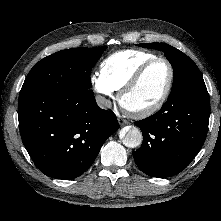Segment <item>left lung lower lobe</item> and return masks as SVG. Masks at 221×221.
I'll list each match as a JSON object with an SVG mask.
<instances>
[{
	"mask_svg": "<svg viewBox=\"0 0 221 221\" xmlns=\"http://www.w3.org/2000/svg\"><path fill=\"white\" fill-rule=\"evenodd\" d=\"M209 116L207 89L172 94L157 113L135 122L143 135L142 146L134 152L136 165L159 178L184 170L206 139Z\"/></svg>",
	"mask_w": 221,
	"mask_h": 221,
	"instance_id": "left-lung-lower-lobe-1",
	"label": "left lung lower lobe"
}]
</instances>
